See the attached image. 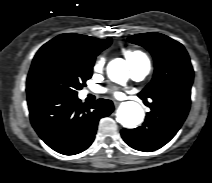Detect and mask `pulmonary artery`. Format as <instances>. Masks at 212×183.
I'll use <instances>...</instances> for the list:
<instances>
[{"label":"pulmonary artery","mask_w":212,"mask_h":183,"mask_svg":"<svg viewBox=\"0 0 212 183\" xmlns=\"http://www.w3.org/2000/svg\"><path fill=\"white\" fill-rule=\"evenodd\" d=\"M151 65L148 61H142L131 65V76L135 80L144 79L150 72Z\"/></svg>","instance_id":"1"}]
</instances>
